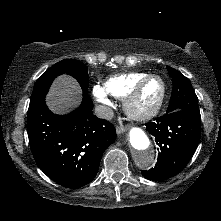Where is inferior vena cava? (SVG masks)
<instances>
[{
	"label": "inferior vena cava",
	"instance_id": "obj_1",
	"mask_svg": "<svg viewBox=\"0 0 221 221\" xmlns=\"http://www.w3.org/2000/svg\"><path fill=\"white\" fill-rule=\"evenodd\" d=\"M95 115L98 118L106 119V120H111L114 116L113 110L105 105H99L95 108L94 110Z\"/></svg>",
	"mask_w": 221,
	"mask_h": 221
}]
</instances>
